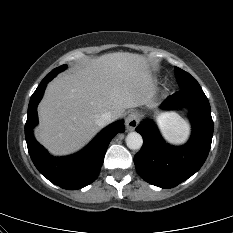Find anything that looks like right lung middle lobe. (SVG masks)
Here are the masks:
<instances>
[{
    "label": "right lung middle lobe",
    "instance_id": "obj_1",
    "mask_svg": "<svg viewBox=\"0 0 233 233\" xmlns=\"http://www.w3.org/2000/svg\"><path fill=\"white\" fill-rule=\"evenodd\" d=\"M66 68H67V65H62L60 67L53 69L43 80L47 78H54L58 73L62 72Z\"/></svg>",
    "mask_w": 233,
    "mask_h": 233
}]
</instances>
